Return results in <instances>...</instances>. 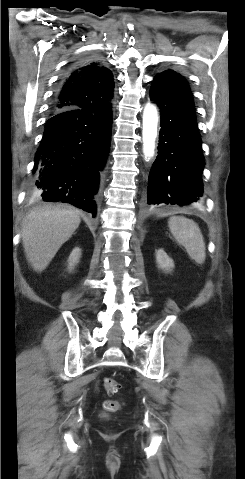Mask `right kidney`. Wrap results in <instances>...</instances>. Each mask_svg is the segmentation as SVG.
Returning a JSON list of instances; mask_svg holds the SVG:
<instances>
[{
	"mask_svg": "<svg viewBox=\"0 0 245 479\" xmlns=\"http://www.w3.org/2000/svg\"><path fill=\"white\" fill-rule=\"evenodd\" d=\"M81 257V249L76 247L72 250L69 259H68V270L72 271L74 266L79 262Z\"/></svg>",
	"mask_w": 245,
	"mask_h": 479,
	"instance_id": "obj_1",
	"label": "right kidney"
}]
</instances>
